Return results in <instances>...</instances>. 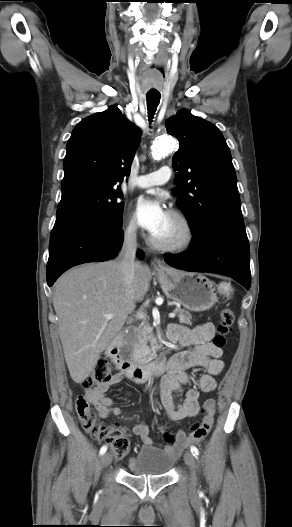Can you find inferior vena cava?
<instances>
[{"label":"inferior vena cava","mask_w":292,"mask_h":527,"mask_svg":"<svg viewBox=\"0 0 292 527\" xmlns=\"http://www.w3.org/2000/svg\"><path fill=\"white\" fill-rule=\"evenodd\" d=\"M136 251V227L130 226L124 234L123 246L118 257V260L121 264L124 282L128 290L130 289L134 279Z\"/></svg>","instance_id":"602c4592"}]
</instances>
